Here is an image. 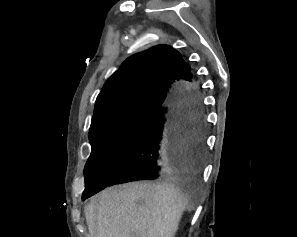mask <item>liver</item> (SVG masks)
Returning <instances> with one entry per match:
<instances>
[{
	"label": "liver",
	"mask_w": 297,
	"mask_h": 237,
	"mask_svg": "<svg viewBox=\"0 0 297 237\" xmlns=\"http://www.w3.org/2000/svg\"><path fill=\"white\" fill-rule=\"evenodd\" d=\"M194 204L174 183L110 187L84 209L89 237H174Z\"/></svg>",
	"instance_id": "6515ba94"
}]
</instances>
